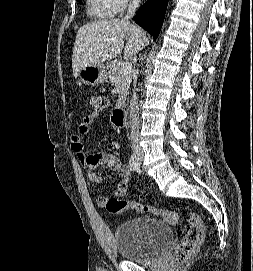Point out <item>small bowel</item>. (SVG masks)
I'll use <instances>...</instances> for the list:
<instances>
[{
    "mask_svg": "<svg viewBox=\"0 0 253 271\" xmlns=\"http://www.w3.org/2000/svg\"><path fill=\"white\" fill-rule=\"evenodd\" d=\"M99 113L92 112L85 115L82 118L81 123L78 126L77 133L70 137V148L72 152L76 155L79 162L86 168L87 177L90 182L94 185H101L103 183L102 177L96 172V168L99 166H104L111 169L120 177L117 188L115 190V196H124L129 188L131 181L130 167L122 164L119 159L106 151L86 154L83 150V145L80 140L81 135H86L91 130V125L98 118ZM110 199L107 195H100L97 197V203L99 206L104 205V203Z\"/></svg>",
    "mask_w": 253,
    "mask_h": 271,
    "instance_id": "c3829d8e",
    "label": "small bowel"
}]
</instances>
